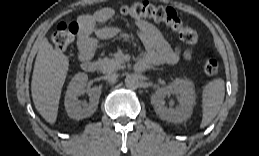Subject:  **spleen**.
<instances>
[{
	"instance_id": "spleen-1",
	"label": "spleen",
	"mask_w": 259,
	"mask_h": 156,
	"mask_svg": "<svg viewBox=\"0 0 259 156\" xmlns=\"http://www.w3.org/2000/svg\"><path fill=\"white\" fill-rule=\"evenodd\" d=\"M225 96V82L221 78L209 81L202 91V121L200 127L207 126L218 114Z\"/></svg>"
}]
</instances>
